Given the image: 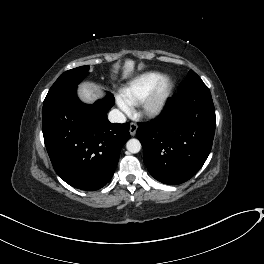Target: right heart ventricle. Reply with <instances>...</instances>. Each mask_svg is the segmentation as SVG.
Segmentation results:
<instances>
[{
    "label": "right heart ventricle",
    "instance_id": "e07e8e85",
    "mask_svg": "<svg viewBox=\"0 0 264 264\" xmlns=\"http://www.w3.org/2000/svg\"><path fill=\"white\" fill-rule=\"evenodd\" d=\"M162 76L157 71H146L135 76L121 89L120 96L129 105H137Z\"/></svg>",
    "mask_w": 264,
    "mask_h": 264
}]
</instances>
